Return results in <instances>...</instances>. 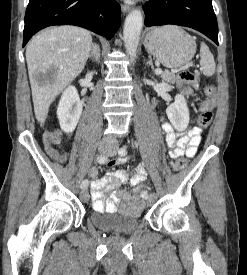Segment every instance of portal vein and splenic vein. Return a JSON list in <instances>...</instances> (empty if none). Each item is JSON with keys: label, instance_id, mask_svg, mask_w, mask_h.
Listing matches in <instances>:
<instances>
[{"label": "portal vein and splenic vein", "instance_id": "1", "mask_svg": "<svg viewBox=\"0 0 247 275\" xmlns=\"http://www.w3.org/2000/svg\"><path fill=\"white\" fill-rule=\"evenodd\" d=\"M156 74H157V75L162 74V70H161V69H156Z\"/></svg>", "mask_w": 247, "mask_h": 275}]
</instances>
